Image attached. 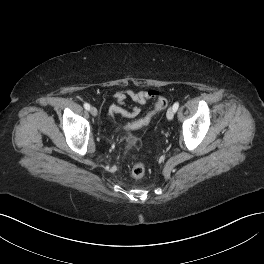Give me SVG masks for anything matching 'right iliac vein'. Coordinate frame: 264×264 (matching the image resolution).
I'll return each instance as SVG.
<instances>
[{"label":"right iliac vein","instance_id":"right-iliac-vein-1","mask_svg":"<svg viewBox=\"0 0 264 264\" xmlns=\"http://www.w3.org/2000/svg\"><path fill=\"white\" fill-rule=\"evenodd\" d=\"M90 113H91L92 116L96 117L97 114H98V111H97V109L95 107H91L90 108Z\"/></svg>","mask_w":264,"mask_h":264}]
</instances>
